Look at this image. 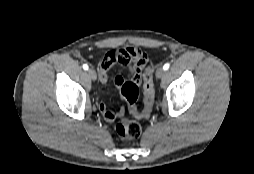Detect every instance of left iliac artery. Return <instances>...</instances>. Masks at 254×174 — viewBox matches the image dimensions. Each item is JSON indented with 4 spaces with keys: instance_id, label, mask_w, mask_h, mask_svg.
<instances>
[{
    "instance_id": "44dca946",
    "label": "left iliac artery",
    "mask_w": 254,
    "mask_h": 174,
    "mask_svg": "<svg viewBox=\"0 0 254 174\" xmlns=\"http://www.w3.org/2000/svg\"><path fill=\"white\" fill-rule=\"evenodd\" d=\"M170 67V64L169 63H166L164 66H163V69L166 71L168 70Z\"/></svg>"
}]
</instances>
